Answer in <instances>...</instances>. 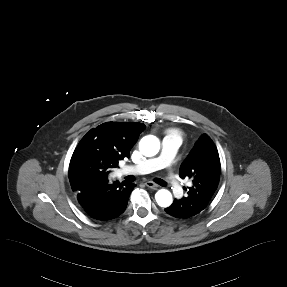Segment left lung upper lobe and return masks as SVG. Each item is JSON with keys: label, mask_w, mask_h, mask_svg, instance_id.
<instances>
[{"label": "left lung upper lobe", "mask_w": 287, "mask_h": 287, "mask_svg": "<svg viewBox=\"0 0 287 287\" xmlns=\"http://www.w3.org/2000/svg\"><path fill=\"white\" fill-rule=\"evenodd\" d=\"M180 177H189L186 203L203 210L215 193L220 179V159L213 141L203 134L180 167Z\"/></svg>", "instance_id": "5c2ea615"}]
</instances>
